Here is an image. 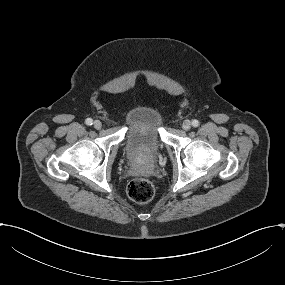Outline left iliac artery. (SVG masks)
Returning a JSON list of instances; mask_svg holds the SVG:
<instances>
[{"label": "left iliac artery", "mask_w": 285, "mask_h": 285, "mask_svg": "<svg viewBox=\"0 0 285 285\" xmlns=\"http://www.w3.org/2000/svg\"><path fill=\"white\" fill-rule=\"evenodd\" d=\"M192 125H193L194 127L199 126V121L196 120V119L192 120Z\"/></svg>", "instance_id": "left-iliac-artery-1"}]
</instances>
